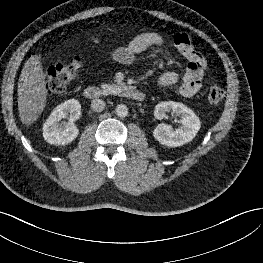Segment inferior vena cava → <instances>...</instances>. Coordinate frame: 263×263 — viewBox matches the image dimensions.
Returning a JSON list of instances; mask_svg holds the SVG:
<instances>
[{
  "mask_svg": "<svg viewBox=\"0 0 263 263\" xmlns=\"http://www.w3.org/2000/svg\"><path fill=\"white\" fill-rule=\"evenodd\" d=\"M91 108L93 111L101 112L105 108V102L102 99H94L91 102Z\"/></svg>",
  "mask_w": 263,
  "mask_h": 263,
  "instance_id": "inferior-vena-cava-1",
  "label": "inferior vena cava"
}]
</instances>
